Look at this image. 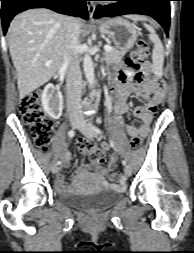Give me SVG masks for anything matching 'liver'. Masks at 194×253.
Returning <instances> with one entry per match:
<instances>
[{
  "label": "liver",
  "mask_w": 194,
  "mask_h": 253,
  "mask_svg": "<svg viewBox=\"0 0 194 253\" xmlns=\"http://www.w3.org/2000/svg\"><path fill=\"white\" fill-rule=\"evenodd\" d=\"M134 21L147 20L141 15H128ZM66 16L49 9H30L14 17L7 38L12 62L17 73L20 99L53 77L63 63ZM80 31L83 26L77 20ZM51 60L50 65L46 62Z\"/></svg>",
  "instance_id": "1"
}]
</instances>
